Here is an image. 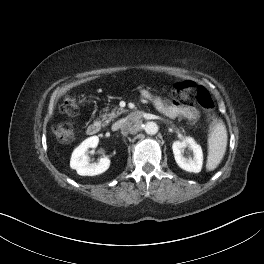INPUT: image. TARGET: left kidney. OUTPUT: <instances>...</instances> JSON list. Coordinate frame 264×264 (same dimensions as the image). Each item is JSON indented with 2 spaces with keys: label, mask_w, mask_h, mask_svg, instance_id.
Here are the masks:
<instances>
[{
  "label": "left kidney",
  "mask_w": 264,
  "mask_h": 264,
  "mask_svg": "<svg viewBox=\"0 0 264 264\" xmlns=\"http://www.w3.org/2000/svg\"><path fill=\"white\" fill-rule=\"evenodd\" d=\"M186 147L193 151V158H185L183 156V151ZM172 150L175 161L180 168L194 173L201 171L203 164V152L201 146L198 145L193 138L186 137L183 141L173 142Z\"/></svg>",
  "instance_id": "1"
}]
</instances>
